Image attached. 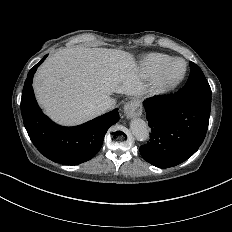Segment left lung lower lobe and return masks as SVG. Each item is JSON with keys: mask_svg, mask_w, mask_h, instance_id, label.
Returning a JSON list of instances; mask_svg holds the SVG:
<instances>
[{"mask_svg": "<svg viewBox=\"0 0 232 232\" xmlns=\"http://www.w3.org/2000/svg\"><path fill=\"white\" fill-rule=\"evenodd\" d=\"M143 105L152 131L148 143L140 147L145 161L169 168L198 150L206 136L210 108L177 93L147 99Z\"/></svg>", "mask_w": 232, "mask_h": 232, "instance_id": "left-lung-lower-lobe-1", "label": "left lung lower lobe"}]
</instances>
